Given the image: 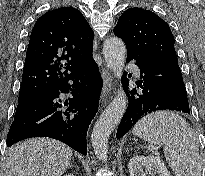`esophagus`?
Masks as SVG:
<instances>
[{"instance_id":"obj_1","label":"esophagus","mask_w":205,"mask_h":176,"mask_svg":"<svg viewBox=\"0 0 205 176\" xmlns=\"http://www.w3.org/2000/svg\"><path fill=\"white\" fill-rule=\"evenodd\" d=\"M101 75L103 79V87L101 91L100 101L103 102L108 96H110V92L113 88V80L110 72L105 68L102 69Z\"/></svg>"}]
</instances>
